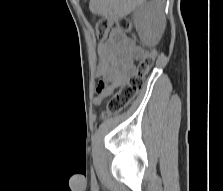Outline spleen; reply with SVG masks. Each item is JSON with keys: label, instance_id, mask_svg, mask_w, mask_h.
<instances>
[{"label": "spleen", "instance_id": "1", "mask_svg": "<svg viewBox=\"0 0 223 191\" xmlns=\"http://www.w3.org/2000/svg\"><path fill=\"white\" fill-rule=\"evenodd\" d=\"M134 0H92L91 9L94 13L107 15L114 10L117 14H126L133 10Z\"/></svg>", "mask_w": 223, "mask_h": 191}]
</instances>
